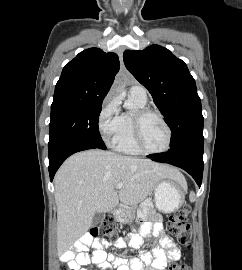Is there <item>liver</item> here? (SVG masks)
<instances>
[{
  "label": "liver",
  "mask_w": 242,
  "mask_h": 270,
  "mask_svg": "<svg viewBox=\"0 0 242 270\" xmlns=\"http://www.w3.org/2000/svg\"><path fill=\"white\" fill-rule=\"evenodd\" d=\"M164 179L186 184L177 169L150 160L101 150L72 155L54 178L58 249L84 235L97 212H108L119 201L126 209L137 205ZM118 183L123 187L117 191Z\"/></svg>",
  "instance_id": "liver-1"
}]
</instances>
